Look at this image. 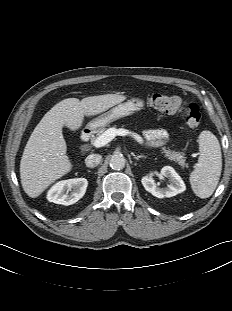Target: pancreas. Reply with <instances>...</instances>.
I'll return each instance as SVG.
<instances>
[{"label":"pancreas","instance_id":"pancreas-1","mask_svg":"<svg viewBox=\"0 0 232 311\" xmlns=\"http://www.w3.org/2000/svg\"><path fill=\"white\" fill-rule=\"evenodd\" d=\"M114 128V127H112ZM110 128H102L100 129L96 136H92L91 138V143H93L99 136H101L106 130H108ZM162 154L168 158L169 160L171 161H175V162H178L179 165L181 166H185V157H184V154L181 153V152H175V151H172L170 149H166L165 147H162Z\"/></svg>","mask_w":232,"mask_h":311}]
</instances>
